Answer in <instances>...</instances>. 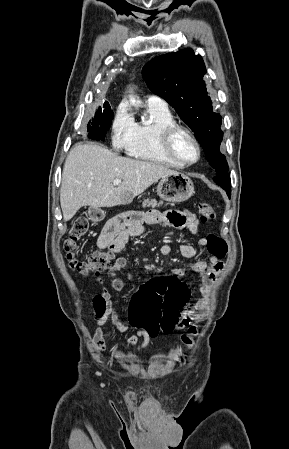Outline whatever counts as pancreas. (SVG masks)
<instances>
[{
    "mask_svg": "<svg viewBox=\"0 0 289 449\" xmlns=\"http://www.w3.org/2000/svg\"><path fill=\"white\" fill-rule=\"evenodd\" d=\"M162 204H163L162 201L157 203L156 200L147 198V199L143 200L142 207L143 208H147V207L155 208L156 206H161Z\"/></svg>",
    "mask_w": 289,
    "mask_h": 449,
    "instance_id": "pancreas-1",
    "label": "pancreas"
}]
</instances>
